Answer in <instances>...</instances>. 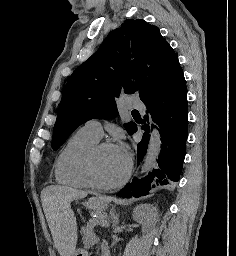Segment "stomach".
Here are the masks:
<instances>
[{
  "instance_id": "obj_1",
  "label": "stomach",
  "mask_w": 236,
  "mask_h": 256,
  "mask_svg": "<svg viewBox=\"0 0 236 256\" xmlns=\"http://www.w3.org/2000/svg\"><path fill=\"white\" fill-rule=\"evenodd\" d=\"M85 205L90 210L104 211L108 207V200L104 197H92ZM72 256H88V253L84 249H77Z\"/></svg>"
}]
</instances>
